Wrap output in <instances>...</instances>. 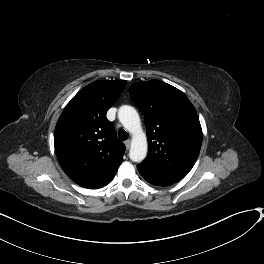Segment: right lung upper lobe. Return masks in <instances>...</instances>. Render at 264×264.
I'll use <instances>...</instances> for the list:
<instances>
[{
	"instance_id": "obj_1",
	"label": "right lung upper lobe",
	"mask_w": 264,
	"mask_h": 264,
	"mask_svg": "<svg viewBox=\"0 0 264 264\" xmlns=\"http://www.w3.org/2000/svg\"><path fill=\"white\" fill-rule=\"evenodd\" d=\"M126 81H95L67 104L55 128V152L66 175L78 185L97 189L115 176L125 153L107 110Z\"/></svg>"
}]
</instances>
